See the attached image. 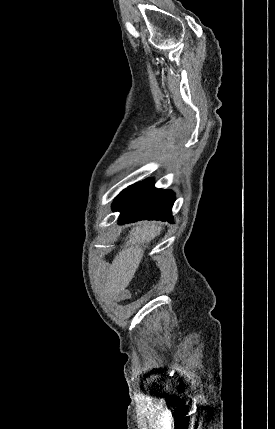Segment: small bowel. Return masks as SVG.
I'll use <instances>...</instances> for the list:
<instances>
[{"instance_id": "1", "label": "small bowel", "mask_w": 275, "mask_h": 429, "mask_svg": "<svg viewBox=\"0 0 275 429\" xmlns=\"http://www.w3.org/2000/svg\"><path fill=\"white\" fill-rule=\"evenodd\" d=\"M129 296H130V293L125 289L118 290L114 293V299L116 301L126 300L129 298Z\"/></svg>"}]
</instances>
